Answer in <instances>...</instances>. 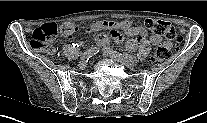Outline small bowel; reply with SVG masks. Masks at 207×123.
Wrapping results in <instances>:
<instances>
[{
  "instance_id": "c3829d8e",
  "label": "small bowel",
  "mask_w": 207,
  "mask_h": 123,
  "mask_svg": "<svg viewBox=\"0 0 207 123\" xmlns=\"http://www.w3.org/2000/svg\"><path fill=\"white\" fill-rule=\"evenodd\" d=\"M108 31L111 33L113 39L117 43L122 42L121 32L128 35L134 36L126 42V47L134 51L138 45L145 43L148 40L152 45H159L162 39L159 35L151 34L145 27L134 26L130 21H98L91 24L86 28V33H97L96 43L105 49L109 48V37L103 32Z\"/></svg>"
}]
</instances>
